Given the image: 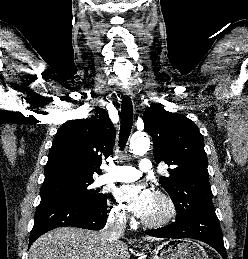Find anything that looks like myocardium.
<instances>
[{
    "mask_svg": "<svg viewBox=\"0 0 248 259\" xmlns=\"http://www.w3.org/2000/svg\"><path fill=\"white\" fill-rule=\"evenodd\" d=\"M154 195L160 198L165 203L166 211L163 214V216H161L158 219H155V220H147L145 218L142 219V224L150 228L165 226L169 224L177 215V206L175 204V201L168 193L162 190H156L154 192Z\"/></svg>",
    "mask_w": 248,
    "mask_h": 259,
    "instance_id": "1",
    "label": "myocardium"
}]
</instances>
